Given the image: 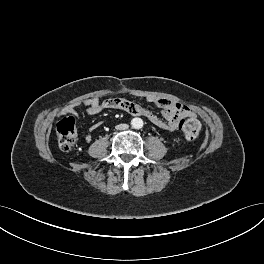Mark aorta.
I'll return each mask as SVG.
<instances>
[{"label": "aorta", "instance_id": "762f6f07", "mask_svg": "<svg viewBox=\"0 0 264 264\" xmlns=\"http://www.w3.org/2000/svg\"><path fill=\"white\" fill-rule=\"evenodd\" d=\"M131 126L134 129H140L143 127V120L141 118H138V117L133 118L131 120Z\"/></svg>", "mask_w": 264, "mask_h": 264}]
</instances>
